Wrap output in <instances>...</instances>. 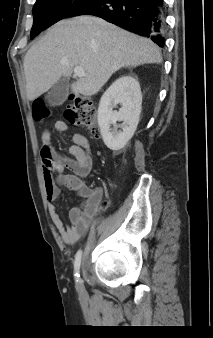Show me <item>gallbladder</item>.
<instances>
[{"label":"gallbladder","instance_id":"1","mask_svg":"<svg viewBox=\"0 0 213 338\" xmlns=\"http://www.w3.org/2000/svg\"><path fill=\"white\" fill-rule=\"evenodd\" d=\"M69 94V82L66 79H60L49 90L46 100L50 106L63 104Z\"/></svg>","mask_w":213,"mask_h":338}]
</instances>
